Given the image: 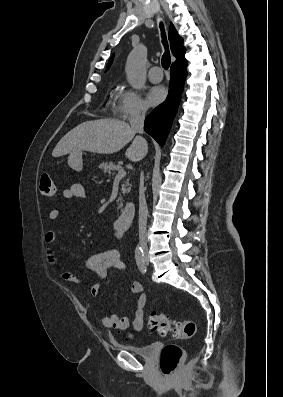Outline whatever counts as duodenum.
Instances as JSON below:
<instances>
[{
    "mask_svg": "<svg viewBox=\"0 0 283 397\" xmlns=\"http://www.w3.org/2000/svg\"><path fill=\"white\" fill-rule=\"evenodd\" d=\"M134 217V205L127 203L121 215L116 219L114 223V229L117 234L122 235L129 229Z\"/></svg>",
    "mask_w": 283,
    "mask_h": 397,
    "instance_id": "duodenum-1",
    "label": "duodenum"
}]
</instances>
